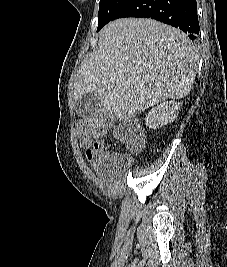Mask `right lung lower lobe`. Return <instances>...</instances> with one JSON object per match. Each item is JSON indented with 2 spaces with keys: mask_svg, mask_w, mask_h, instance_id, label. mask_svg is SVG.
<instances>
[{
  "mask_svg": "<svg viewBox=\"0 0 227 267\" xmlns=\"http://www.w3.org/2000/svg\"><path fill=\"white\" fill-rule=\"evenodd\" d=\"M125 17L158 20L180 28L191 40L197 38L200 29L196 0H128L112 20Z\"/></svg>",
  "mask_w": 227,
  "mask_h": 267,
  "instance_id": "obj_1",
  "label": "right lung lower lobe"
}]
</instances>
